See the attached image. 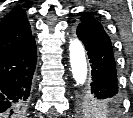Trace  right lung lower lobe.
<instances>
[{
  "label": "right lung lower lobe",
  "instance_id": "obj_1",
  "mask_svg": "<svg viewBox=\"0 0 133 118\" xmlns=\"http://www.w3.org/2000/svg\"><path fill=\"white\" fill-rule=\"evenodd\" d=\"M36 61L34 37L0 56V118L22 117Z\"/></svg>",
  "mask_w": 133,
  "mask_h": 118
}]
</instances>
